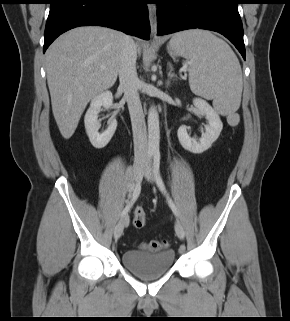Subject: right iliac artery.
<instances>
[{"instance_id":"obj_1","label":"right iliac artery","mask_w":290,"mask_h":321,"mask_svg":"<svg viewBox=\"0 0 290 321\" xmlns=\"http://www.w3.org/2000/svg\"><path fill=\"white\" fill-rule=\"evenodd\" d=\"M152 156H153V153L149 152L148 153V160H150L152 158ZM142 179H143V177H142V175H140L136 185L133 186V193H132V196H131V201L126 205V207L122 211V214H121L122 217L128 213V211L130 210V208L132 207V205L134 204V202L138 198V196H139V194L141 192Z\"/></svg>"}]
</instances>
